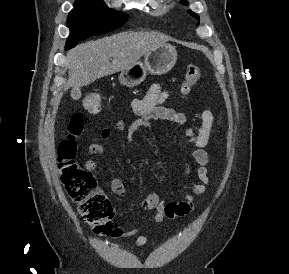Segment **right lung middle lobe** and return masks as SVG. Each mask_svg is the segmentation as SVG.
Returning <instances> with one entry per match:
<instances>
[{
    "label": "right lung middle lobe",
    "instance_id": "dd1d6c3e",
    "mask_svg": "<svg viewBox=\"0 0 289 274\" xmlns=\"http://www.w3.org/2000/svg\"><path fill=\"white\" fill-rule=\"evenodd\" d=\"M128 15L109 9L102 0H77L67 18L70 36L66 49L93 35L104 34L119 28Z\"/></svg>",
    "mask_w": 289,
    "mask_h": 274
}]
</instances>
